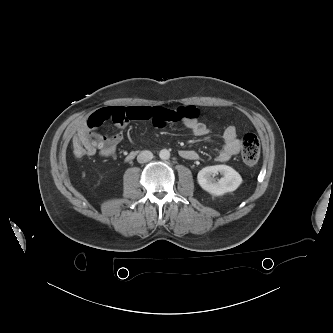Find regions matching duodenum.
<instances>
[{
    "instance_id": "duodenum-1",
    "label": "duodenum",
    "mask_w": 333,
    "mask_h": 333,
    "mask_svg": "<svg viewBox=\"0 0 333 333\" xmlns=\"http://www.w3.org/2000/svg\"><path fill=\"white\" fill-rule=\"evenodd\" d=\"M136 155H137L136 151L131 152L126 158L127 161H130V160L134 159Z\"/></svg>"
}]
</instances>
